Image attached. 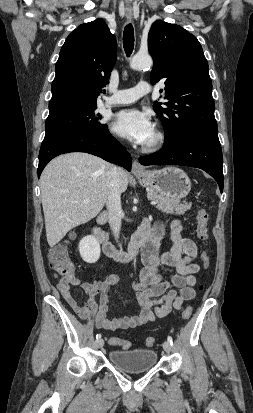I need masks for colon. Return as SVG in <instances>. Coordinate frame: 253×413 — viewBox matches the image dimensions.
<instances>
[{"label":"colon","mask_w":253,"mask_h":413,"mask_svg":"<svg viewBox=\"0 0 253 413\" xmlns=\"http://www.w3.org/2000/svg\"><path fill=\"white\" fill-rule=\"evenodd\" d=\"M196 223H197V229H196V234L199 240L202 242H206L208 239V214L204 209H200L197 212L196 215ZM49 262L51 268L60 276L62 277H68L73 274V267L69 259V254H68V248H67V243L63 242L60 243L56 246H54L50 251H49ZM201 261L204 266V268H208L210 264V258L207 255V253L203 252L201 254ZM203 286L200 287L202 289ZM192 315V308L191 307H186L183 312H182V318L184 320H188ZM109 343L112 345H118L122 347L123 349H129L131 346V343L126 340H122L117 337H111L109 339ZM145 344L148 347L153 346L154 344V338L153 337H147L145 340Z\"/></svg>","instance_id":"1"}]
</instances>
